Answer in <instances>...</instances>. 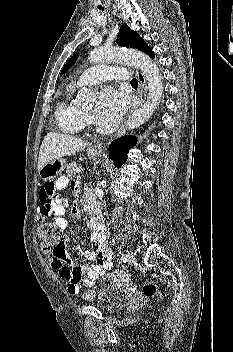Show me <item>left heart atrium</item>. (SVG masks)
I'll use <instances>...</instances> for the list:
<instances>
[{"mask_svg": "<svg viewBox=\"0 0 233 352\" xmlns=\"http://www.w3.org/2000/svg\"><path fill=\"white\" fill-rule=\"evenodd\" d=\"M127 108L126 95L114 88H105L99 96L94 118L99 125L110 128L118 123Z\"/></svg>", "mask_w": 233, "mask_h": 352, "instance_id": "1", "label": "left heart atrium"}]
</instances>
